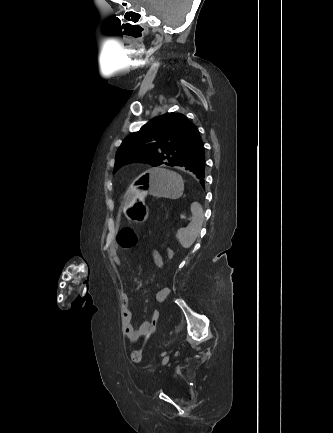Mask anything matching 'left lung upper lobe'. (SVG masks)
<instances>
[{
  "mask_svg": "<svg viewBox=\"0 0 333 433\" xmlns=\"http://www.w3.org/2000/svg\"><path fill=\"white\" fill-rule=\"evenodd\" d=\"M201 143L197 127L185 115L173 112L157 116L122 142L114 172L135 161L177 166Z\"/></svg>",
  "mask_w": 333,
  "mask_h": 433,
  "instance_id": "obj_1",
  "label": "left lung upper lobe"
}]
</instances>
